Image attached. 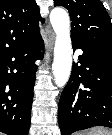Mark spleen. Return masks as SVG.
Here are the masks:
<instances>
[{
	"label": "spleen",
	"mask_w": 112,
	"mask_h": 135,
	"mask_svg": "<svg viewBox=\"0 0 112 135\" xmlns=\"http://www.w3.org/2000/svg\"><path fill=\"white\" fill-rule=\"evenodd\" d=\"M78 135H112V131L102 127H97L91 129L89 132L79 133Z\"/></svg>",
	"instance_id": "1"
}]
</instances>
